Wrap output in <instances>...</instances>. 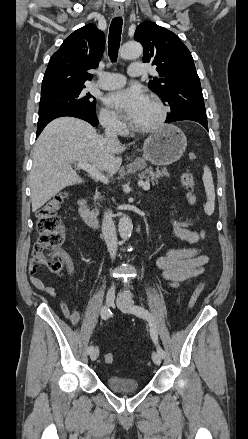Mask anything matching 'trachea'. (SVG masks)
<instances>
[{"label": "trachea", "instance_id": "1", "mask_svg": "<svg viewBox=\"0 0 248 439\" xmlns=\"http://www.w3.org/2000/svg\"><path fill=\"white\" fill-rule=\"evenodd\" d=\"M123 20L121 17H115L110 25L109 37H108V54L111 61L115 62L118 56V50L120 47L121 32H122Z\"/></svg>", "mask_w": 248, "mask_h": 439}]
</instances>
